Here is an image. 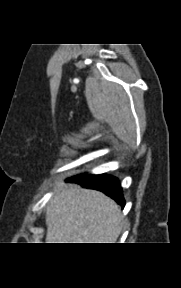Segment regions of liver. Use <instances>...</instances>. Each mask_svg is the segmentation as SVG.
<instances>
[{
    "label": "liver",
    "mask_w": 181,
    "mask_h": 288,
    "mask_svg": "<svg viewBox=\"0 0 181 288\" xmlns=\"http://www.w3.org/2000/svg\"><path fill=\"white\" fill-rule=\"evenodd\" d=\"M46 209L47 243H115L121 210L115 201L79 185L56 183Z\"/></svg>",
    "instance_id": "liver-1"
}]
</instances>
